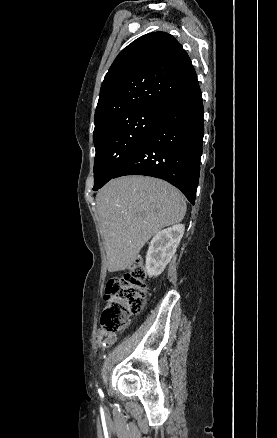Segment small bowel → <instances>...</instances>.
<instances>
[{
  "label": "small bowel",
  "instance_id": "c3829d8e",
  "mask_svg": "<svg viewBox=\"0 0 277 438\" xmlns=\"http://www.w3.org/2000/svg\"><path fill=\"white\" fill-rule=\"evenodd\" d=\"M117 341V335L114 333H104L100 331L97 335V343L98 344H105L107 346H111L115 344Z\"/></svg>",
  "mask_w": 277,
  "mask_h": 438
}]
</instances>
